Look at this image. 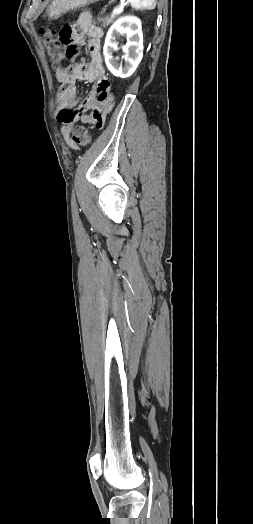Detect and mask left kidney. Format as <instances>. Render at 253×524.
Instances as JSON below:
<instances>
[{"instance_id": "5707ae66", "label": "left kidney", "mask_w": 253, "mask_h": 524, "mask_svg": "<svg viewBox=\"0 0 253 524\" xmlns=\"http://www.w3.org/2000/svg\"><path fill=\"white\" fill-rule=\"evenodd\" d=\"M121 36L127 39V43L122 47L125 53L124 65L113 56L114 52L118 50L116 39ZM103 54L106 66L114 76L121 78L131 76L143 57V33L140 19L133 16L118 19L106 35Z\"/></svg>"}]
</instances>
